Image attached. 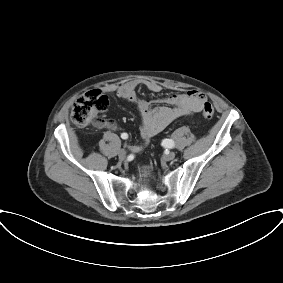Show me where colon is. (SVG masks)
<instances>
[{
	"instance_id": "obj_1",
	"label": "colon",
	"mask_w": 283,
	"mask_h": 283,
	"mask_svg": "<svg viewBox=\"0 0 283 283\" xmlns=\"http://www.w3.org/2000/svg\"><path fill=\"white\" fill-rule=\"evenodd\" d=\"M108 98L99 91L87 92L76 99L71 109V120L77 127H84L95 122L107 109ZM202 115L211 118L214 108L211 103L205 102Z\"/></svg>"
}]
</instances>
